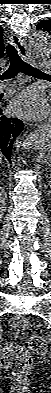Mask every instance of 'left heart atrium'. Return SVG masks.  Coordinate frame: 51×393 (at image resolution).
Returning a JSON list of instances; mask_svg holds the SVG:
<instances>
[{
	"instance_id": "obj_1",
	"label": "left heart atrium",
	"mask_w": 51,
	"mask_h": 393,
	"mask_svg": "<svg viewBox=\"0 0 51 393\" xmlns=\"http://www.w3.org/2000/svg\"><path fill=\"white\" fill-rule=\"evenodd\" d=\"M11 109L28 118H43L48 113L47 103L43 95L36 89H26L15 96Z\"/></svg>"
}]
</instances>
